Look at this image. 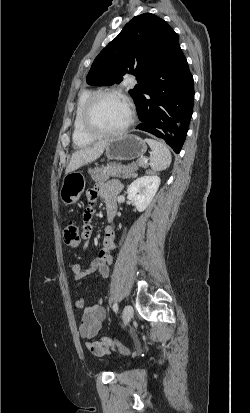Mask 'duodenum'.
Returning a JSON list of instances; mask_svg holds the SVG:
<instances>
[{
    "instance_id": "410a0bca",
    "label": "duodenum",
    "mask_w": 250,
    "mask_h": 413,
    "mask_svg": "<svg viewBox=\"0 0 250 413\" xmlns=\"http://www.w3.org/2000/svg\"><path fill=\"white\" fill-rule=\"evenodd\" d=\"M115 217V211L113 209H108L107 210V219L109 221H112Z\"/></svg>"
}]
</instances>
